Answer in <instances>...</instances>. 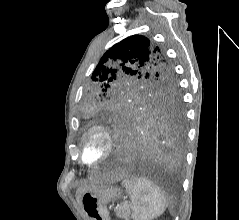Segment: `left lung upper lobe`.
Returning <instances> with one entry per match:
<instances>
[{
  "mask_svg": "<svg viewBox=\"0 0 239 220\" xmlns=\"http://www.w3.org/2000/svg\"><path fill=\"white\" fill-rule=\"evenodd\" d=\"M81 105L86 120L108 110L182 112L176 73L164 50L142 35L111 47L92 73Z\"/></svg>",
  "mask_w": 239,
  "mask_h": 220,
  "instance_id": "obj_1",
  "label": "left lung upper lobe"
}]
</instances>
